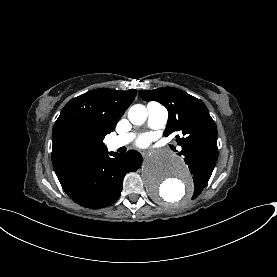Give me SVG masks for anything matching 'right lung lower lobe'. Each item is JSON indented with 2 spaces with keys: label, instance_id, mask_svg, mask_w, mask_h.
Segmentation results:
<instances>
[{
  "label": "right lung lower lobe",
  "instance_id": "98d812e1",
  "mask_svg": "<svg viewBox=\"0 0 277 277\" xmlns=\"http://www.w3.org/2000/svg\"><path fill=\"white\" fill-rule=\"evenodd\" d=\"M107 152L92 156L57 175L68 196L81 206L98 209L111 205L120 196L126 173L141 167L142 157Z\"/></svg>",
  "mask_w": 277,
  "mask_h": 277
}]
</instances>
